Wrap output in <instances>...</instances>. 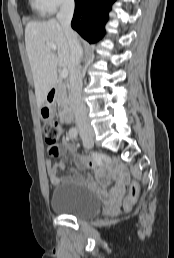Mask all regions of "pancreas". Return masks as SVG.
Listing matches in <instances>:
<instances>
[{
	"label": "pancreas",
	"instance_id": "pancreas-1",
	"mask_svg": "<svg viewBox=\"0 0 174 258\" xmlns=\"http://www.w3.org/2000/svg\"><path fill=\"white\" fill-rule=\"evenodd\" d=\"M56 102L58 106L63 109H66L69 105V98L66 86L62 82L58 84Z\"/></svg>",
	"mask_w": 174,
	"mask_h": 258
}]
</instances>
